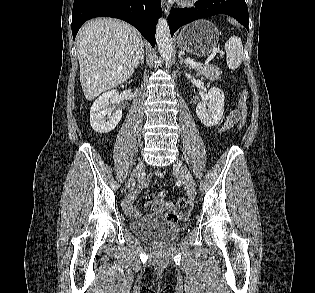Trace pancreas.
<instances>
[{
  "label": "pancreas",
  "mask_w": 315,
  "mask_h": 293,
  "mask_svg": "<svg viewBox=\"0 0 315 293\" xmlns=\"http://www.w3.org/2000/svg\"><path fill=\"white\" fill-rule=\"evenodd\" d=\"M192 68L196 70L198 74L212 81L216 80L222 73L219 67L215 65L193 66Z\"/></svg>",
  "instance_id": "cf45deb5"
}]
</instances>
